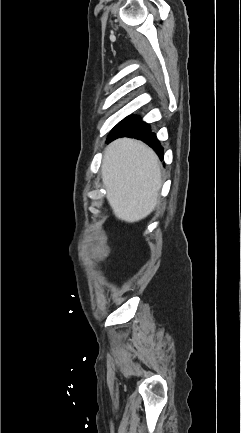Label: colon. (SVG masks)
Returning <instances> with one entry per match:
<instances>
[{
    "label": "colon",
    "instance_id": "5ec220e1",
    "mask_svg": "<svg viewBox=\"0 0 241 433\" xmlns=\"http://www.w3.org/2000/svg\"><path fill=\"white\" fill-rule=\"evenodd\" d=\"M96 253L98 256H104L106 254V248L105 245L102 243H99L96 247Z\"/></svg>",
    "mask_w": 241,
    "mask_h": 433
}]
</instances>
